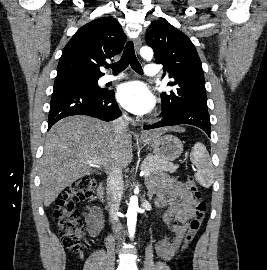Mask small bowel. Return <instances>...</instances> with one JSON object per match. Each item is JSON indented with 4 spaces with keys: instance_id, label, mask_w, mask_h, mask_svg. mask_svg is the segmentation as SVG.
Returning <instances> with one entry per match:
<instances>
[{
    "instance_id": "small-bowel-1",
    "label": "small bowel",
    "mask_w": 267,
    "mask_h": 270,
    "mask_svg": "<svg viewBox=\"0 0 267 270\" xmlns=\"http://www.w3.org/2000/svg\"><path fill=\"white\" fill-rule=\"evenodd\" d=\"M148 188L149 195L154 196L155 204L165 208L162 215L165 233L156 244V254L164 260H170L181 247L194 215L196 201L184 183L168 176L152 177L148 181ZM85 219L90 235L98 236L104 227L101 213L88 208Z\"/></svg>"
}]
</instances>
